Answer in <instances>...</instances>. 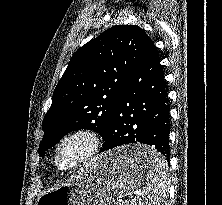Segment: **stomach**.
Segmentation results:
<instances>
[{"instance_id":"0dacf381","label":"stomach","mask_w":222,"mask_h":205,"mask_svg":"<svg viewBox=\"0 0 222 205\" xmlns=\"http://www.w3.org/2000/svg\"><path fill=\"white\" fill-rule=\"evenodd\" d=\"M157 154L145 145L103 153L89 161L68 183L42 192L37 205H110L146 181L149 165L140 164L138 158Z\"/></svg>"}]
</instances>
